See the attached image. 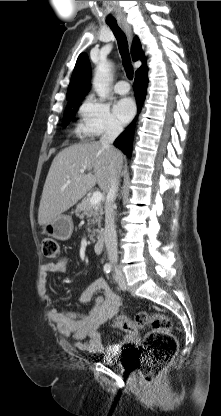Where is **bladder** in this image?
Instances as JSON below:
<instances>
[{"label":"bladder","mask_w":221,"mask_h":416,"mask_svg":"<svg viewBox=\"0 0 221 416\" xmlns=\"http://www.w3.org/2000/svg\"><path fill=\"white\" fill-rule=\"evenodd\" d=\"M111 357H114V354H106L104 356L105 363L110 364L113 361V358Z\"/></svg>","instance_id":"obj_1"}]
</instances>
